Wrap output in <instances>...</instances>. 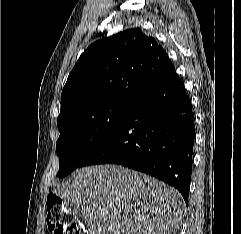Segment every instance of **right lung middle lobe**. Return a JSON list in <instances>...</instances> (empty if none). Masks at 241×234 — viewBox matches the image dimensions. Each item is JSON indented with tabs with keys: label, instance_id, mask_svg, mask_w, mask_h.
<instances>
[{
	"label": "right lung middle lobe",
	"instance_id": "obj_1",
	"mask_svg": "<svg viewBox=\"0 0 241 234\" xmlns=\"http://www.w3.org/2000/svg\"><path fill=\"white\" fill-rule=\"evenodd\" d=\"M131 104L103 103L78 110L59 125L57 178L80 167L83 160L118 126Z\"/></svg>",
	"mask_w": 241,
	"mask_h": 234
}]
</instances>
